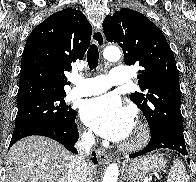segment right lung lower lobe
<instances>
[{"instance_id":"obj_1","label":"right lung lower lobe","mask_w":196,"mask_h":182,"mask_svg":"<svg viewBox=\"0 0 196 182\" xmlns=\"http://www.w3.org/2000/svg\"><path fill=\"white\" fill-rule=\"evenodd\" d=\"M31 135H41L52 138L63 144L68 150L77 153L74 144L77 142L79 135L75 120L71 124L62 123L53 120H37L16 126L12 135L9 147L16 141ZM93 163H97L95 153L93 152Z\"/></svg>"}]
</instances>
